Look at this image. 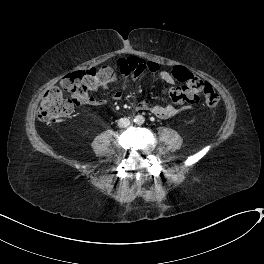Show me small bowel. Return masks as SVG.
<instances>
[{
    "label": "small bowel",
    "mask_w": 264,
    "mask_h": 264,
    "mask_svg": "<svg viewBox=\"0 0 264 264\" xmlns=\"http://www.w3.org/2000/svg\"><path fill=\"white\" fill-rule=\"evenodd\" d=\"M121 60L124 62V68L119 69L122 74V86L115 90L110 98H96L86 95L82 100L84 104L90 106H100L107 104L110 100H120L124 95L126 86L129 83L136 81L144 70H148L154 75V77L164 81L169 85L174 86L176 84V79L173 77L172 73L167 70H161L159 65L153 61H146L136 57H126ZM108 82L109 81L100 83L99 86H105ZM196 101L197 100L192 103H195ZM134 107L137 111H149L162 119L170 118L177 112V109L173 105H155L146 99L137 101Z\"/></svg>",
    "instance_id": "1"
}]
</instances>
